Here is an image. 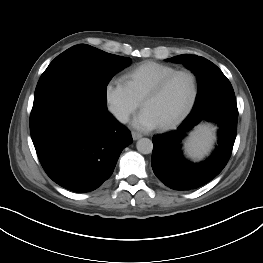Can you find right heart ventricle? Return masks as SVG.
<instances>
[{
    "mask_svg": "<svg viewBox=\"0 0 263 263\" xmlns=\"http://www.w3.org/2000/svg\"><path fill=\"white\" fill-rule=\"evenodd\" d=\"M176 68L154 61L143 62L122 75V80L141 102L144 95L164 76L174 72Z\"/></svg>",
    "mask_w": 263,
    "mask_h": 263,
    "instance_id": "1",
    "label": "right heart ventricle"
}]
</instances>
